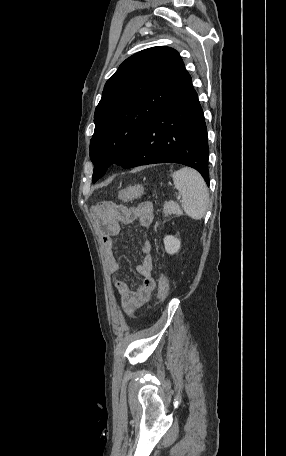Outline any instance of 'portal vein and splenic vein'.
<instances>
[{
  "mask_svg": "<svg viewBox=\"0 0 286 456\" xmlns=\"http://www.w3.org/2000/svg\"><path fill=\"white\" fill-rule=\"evenodd\" d=\"M180 197H181L180 195L177 196L178 199H180Z\"/></svg>",
  "mask_w": 286,
  "mask_h": 456,
  "instance_id": "obj_1",
  "label": "portal vein and splenic vein"
}]
</instances>
